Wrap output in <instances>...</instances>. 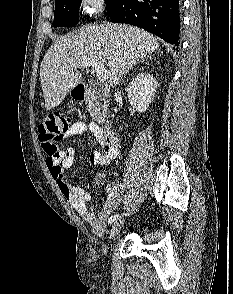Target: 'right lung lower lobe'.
I'll use <instances>...</instances> for the list:
<instances>
[{
  "instance_id": "1",
  "label": "right lung lower lobe",
  "mask_w": 233,
  "mask_h": 294,
  "mask_svg": "<svg viewBox=\"0 0 233 294\" xmlns=\"http://www.w3.org/2000/svg\"><path fill=\"white\" fill-rule=\"evenodd\" d=\"M117 23H128L179 45V0H116L107 12Z\"/></svg>"
}]
</instances>
